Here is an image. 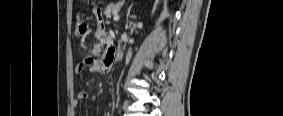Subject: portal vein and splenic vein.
Wrapping results in <instances>:
<instances>
[{
    "label": "portal vein and splenic vein",
    "instance_id": "obj_1",
    "mask_svg": "<svg viewBox=\"0 0 283 116\" xmlns=\"http://www.w3.org/2000/svg\"><path fill=\"white\" fill-rule=\"evenodd\" d=\"M119 19H120V17L118 15V13H115L114 17H113V20L117 22V21H119Z\"/></svg>",
    "mask_w": 283,
    "mask_h": 116
}]
</instances>
